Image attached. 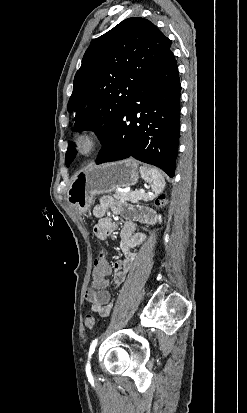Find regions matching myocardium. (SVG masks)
Listing matches in <instances>:
<instances>
[{"label":"myocardium","instance_id":"obj_1","mask_svg":"<svg viewBox=\"0 0 247 413\" xmlns=\"http://www.w3.org/2000/svg\"><path fill=\"white\" fill-rule=\"evenodd\" d=\"M103 141L102 134L93 129L85 130L77 139L79 152L84 156H90L100 147Z\"/></svg>","mask_w":247,"mask_h":413}]
</instances>
